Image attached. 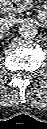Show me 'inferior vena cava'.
I'll list each match as a JSON object with an SVG mask.
<instances>
[{"label":"inferior vena cava","mask_w":47,"mask_h":129,"mask_svg":"<svg viewBox=\"0 0 47 129\" xmlns=\"http://www.w3.org/2000/svg\"><path fill=\"white\" fill-rule=\"evenodd\" d=\"M1 31L2 32H7L10 29L14 27L15 24H17V18L15 17H4L1 19Z\"/></svg>","instance_id":"602c4592"}]
</instances>
